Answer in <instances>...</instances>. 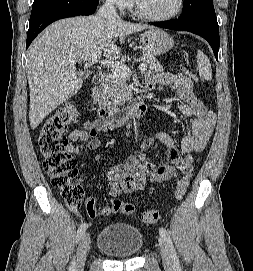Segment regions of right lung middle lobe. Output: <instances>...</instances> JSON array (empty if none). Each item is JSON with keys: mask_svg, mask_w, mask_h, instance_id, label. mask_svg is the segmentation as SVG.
Masks as SVG:
<instances>
[{"mask_svg": "<svg viewBox=\"0 0 253 271\" xmlns=\"http://www.w3.org/2000/svg\"><path fill=\"white\" fill-rule=\"evenodd\" d=\"M77 2H89L91 4H99V0H34L30 18L49 8Z\"/></svg>", "mask_w": 253, "mask_h": 271, "instance_id": "1", "label": "right lung middle lobe"}]
</instances>
